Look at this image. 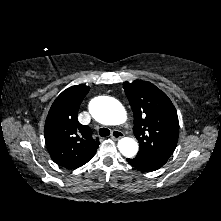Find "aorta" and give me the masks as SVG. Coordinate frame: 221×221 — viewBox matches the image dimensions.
Wrapping results in <instances>:
<instances>
[{
  "label": "aorta",
  "mask_w": 221,
  "mask_h": 221,
  "mask_svg": "<svg viewBox=\"0 0 221 221\" xmlns=\"http://www.w3.org/2000/svg\"><path fill=\"white\" fill-rule=\"evenodd\" d=\"M92 117L101 124L119 125L126 120V111L122 104L110 97H96L89 104ZM138 143L129 137L118 141V149L125 157L131 158L138 152Z\"/></svg>",
  "instance_id": "aorta-1"
}]
</instances>
